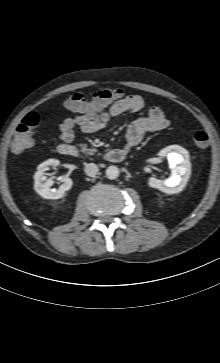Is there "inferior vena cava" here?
Masks as SVG:
<instances>
[{"mask_svg":"<svg viewBox=\"0 0 220 363\" xmlns=\"http://www.w3.org/2000/svg\"><path fill=\"white\" fill-rule=\"evenodd\" d=\"M85 173L90 176V177H94L98 171H99V168L96 164L94 163H88L85 165V169H84Z\"/></svg>","mask_w":220,"mask_h":363,"instance_id":"602c4592","label":"inferior vena cava"}]
</instances>
